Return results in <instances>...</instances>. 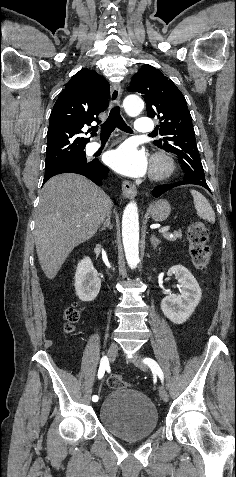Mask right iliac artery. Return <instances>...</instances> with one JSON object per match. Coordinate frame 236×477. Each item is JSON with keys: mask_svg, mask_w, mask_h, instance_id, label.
<instances>
[{"mask_svg": "<svg viewBox=\"0 0 236 477\" xmlns=\"http://www.w3.org/2000/svg\"><path fill=\"white\" fill-rule=\"evenodd\" d=\"M109 368V361L106 356L102 357L101 362H100V367L98 370V378L101 379L104 376L105 371ZM92 402L93 404H98L99 398L97 395H94L92 397Z\"/></svg>", "mask_w": 236, "mask_h": 477, "instance_id": "1", "label": "right iliac artery"}]
</instances>
